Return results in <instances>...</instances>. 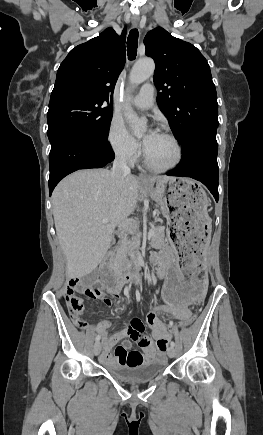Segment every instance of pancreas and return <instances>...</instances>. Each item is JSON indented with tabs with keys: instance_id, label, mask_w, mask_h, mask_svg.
<instances>
[{
	"instance_id": "cf45deb5",
	"label": "pancreas",
	"mask_w": 263,
	"mask_h": 435,
	"mask_svg": "<svg viewBox=\"0 0 263 435\" xmlns=\"http://www.w3.org/2000/svg\"><path fill=\"white\" fill-rule=\"evenodd\" d=\"M153 230L154 233L151 237L150 245L153 248H160L164 238V227L157 226L154 227ZM127 253L128 248L124 245L118 249L115 259V266L117 270H122L124 267H128Z\"/></svg>"
}]
</instances>
